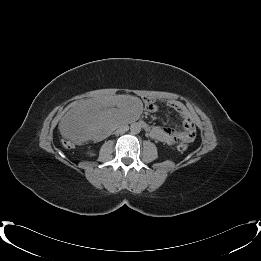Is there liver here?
Instances as JSON below:
<instances>
[{"instance_id": "1", "label": "liver", "mask_w": 261, "mask_h": 261, "mask_svg": "<svg viewBox=\"0 0 261 261\" xmlns=\"http://www.w3.org/2000/svg\"><path fill=\"white\" fill-rule=\"evenodd\" d=\"M137 97H100L79 101L59 124L62 136L74 143L96 138L115 124L135 120L141 109Z\"/></svg>"}]
</instances>
